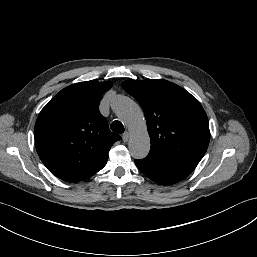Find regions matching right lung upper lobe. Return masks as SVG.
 I'll list each match as a JSON object with an SVG mask.
<instances>
[{
	"label": "right lung upper lobe",
	"mask_w": 257,
	"mask_h": 257,
	"mask_svg": "<svg viewBox=\"0 0 257 257\" xmlns=\"http://www.w3.org/2000/svg\"><path fill=\"white\" fill-rule=\"evenodd\" d=\"M112 82L72 84L50 100L35 124V144L44 165L57 177L85 180L101 170L111 146L121 137L112 133L98 109Z\"/></svg>",
	"instance_id": "obj_1"
}]
</instances>
